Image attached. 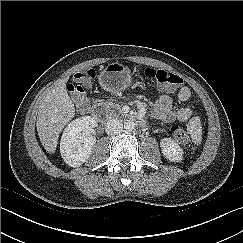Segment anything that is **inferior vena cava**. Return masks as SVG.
<instances>
[{
  "label": "inferior vena cava",
  "instance_id": "1",
  "mask_svg": "<svg viewBox=\"0 0 243 243\" xmlns=\"http://www.w3.org/2000/svg\"><path fill=\"white\" fill-rule=\"evenodd\" d=\"M123 130V123L117 119H109L105 125V131L109 135H115Z\"/></svg>",
  "mask_w": 243,
  "mask_h": 243
}]
</instances>
